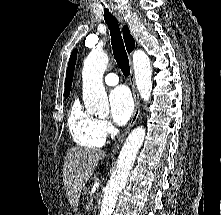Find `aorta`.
Listing matches in <instances>:
<instances>
[{
	"mask_svg": "<svg viewBox=\"0 0 221 215\" xmlns=\"http://www.w3.org/2000/svg\"><path fill=\"white\" fill-rule=\"evenodd\" d=\"M109 58L103 51L93 49L87 56L83 70V100L87 111L98 116L109 114L107 94L103 85V75ZM135 81L141 98L149 101L152 91L151 64L146 53L135 50L133 53ZM145 128H135L127 137L117 160L116 169L104 189L99 215H112L119 193L126 186L129 172L145 138Z\"/></svg>",
	"mask_w": 221,
	"mask_h": 215,
	"instance_id": "aorta-1",
	"label": "aorta"
}]
</instances>
